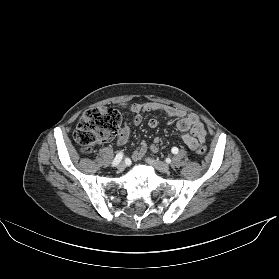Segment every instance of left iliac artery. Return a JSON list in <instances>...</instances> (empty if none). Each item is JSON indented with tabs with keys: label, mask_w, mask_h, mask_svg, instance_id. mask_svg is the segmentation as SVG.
Masks as SVG:
<instances>
[{
	"label": "left iliac artery",
	"mask_w": 279,
	"mask_h": 279,
	"mask_svg": "<svg viewBox=\"0 0 279 279\" xmlns=\"http://www.w3.org/2000/svg\"><path fill=\"white\" fill-rule=\"evenodd\" d=\"M171 152H172L173 154H177V153H178V148H177V147H173V148L171 149Z\"/></svg>",
	"instance_id": "44dca946"
}]
</instances>
